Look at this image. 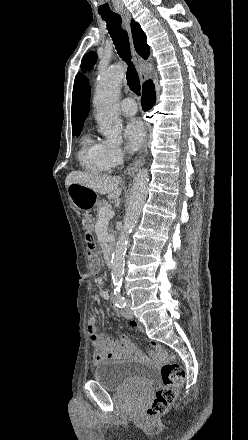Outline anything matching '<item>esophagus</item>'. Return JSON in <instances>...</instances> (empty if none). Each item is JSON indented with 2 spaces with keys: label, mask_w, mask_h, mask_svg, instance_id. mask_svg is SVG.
Instances as JSON below:
<instances>
[{
  "label": "esophagus",
  "mask_w": 248,
  "mask_h": 440,
  "mask_svg": "<svg viewBox=\"0 0 248 440\" xmlns=\"http://www.w3.org/2000/svg\"><path fill=\"white\" fill-rule=\"evenodd\" d=\"M120 14L123 18V22H124V27L126 28V30L129 33V38H130V47H131V54L136 66V69L138 71V74L140 76V79L142 81L147 79V72L145 70V60L138 55V53L136 52L134 45H133V41H132V37H131V31H130V19H131V15L128 12V10L126 9H122L120 11ZM148 146H149V137L146 138L143 147L141 148L140 152L138 153L137 157L135 158V160L130 164V166L127 168L126 170V174L127 176H132L135 173L138 172V170L140 169V167L143 165L146 156L148 154Z\"/></svg>",
  "instance_id": "34e87169"
}]
</instances>
